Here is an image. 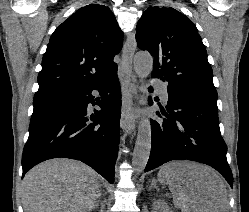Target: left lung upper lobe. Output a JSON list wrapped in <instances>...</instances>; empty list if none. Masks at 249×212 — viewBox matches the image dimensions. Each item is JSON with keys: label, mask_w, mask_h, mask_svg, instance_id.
<instances>
[{"label": "left lung upper lobe", "mask_w": 249, "mask_h": 212, "mask_svg": "<svg viewBox=\"0 0 249 212\" xmlns=\"http://www.w3.org/2000/svg\"><path fill=\"white\" fill-rule=\"evenodd\" d=\"M138 47L154 57L153 74L170 87L217 98L213 72L196 26L168 7H149L136 26Z\"/></svg>", "instance_id": "left-lung-upper-lobe-1"}]
</instances>
